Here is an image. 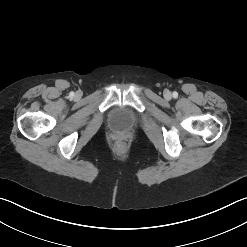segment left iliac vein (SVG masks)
Segmentation results:
<instances>
[{
    "mask_svg": "<svg viewBox=\"0 0 247 247\" xmlns=\"http://www.w3.org/2000/svg\"><path fill=\"white\" fill-rule=\"evenodd\" d=\"M164 96L166 99H170L171 98V92L170 91H165Z\"/></svg>",
    "mask_w": 247,
    "mask_h": 247,
    "instance_id": "1",
    "label": "left iliac vein"
}]
</instances>
